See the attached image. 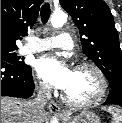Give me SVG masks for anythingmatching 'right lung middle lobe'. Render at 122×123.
Masks as SVG:
<instances>
[{"label":"right lung middle lobe","mask_w":122,"mask_h":123,"mask_svg":"<svg viewBox=\"0 0 122 123\" xmlns=\"http://www.w3.org/2000/svg\"><path fill=\"white\" fill-rule=\"evenodd\" d=\"M17 49H1V59L11 64L28 67L15 53Z\"/></svg>","instance_id":"obj_1"}]
</instances>
